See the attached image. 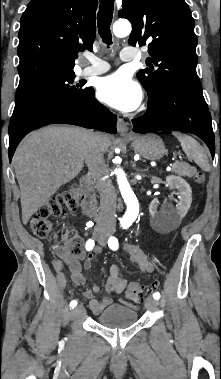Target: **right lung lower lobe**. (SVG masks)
Returning <instances> with one entry per match:
<instances>
[{
  "mask_svg": "<svg viewBox=\"0 0 221 379\" xmlns=\"http://www.w3.org/2000/svg\"><path fill=\"white\" fill-rule=\"evenodd\" d=\"M116 121V116L95 99L94 90L89 87L88 92L75 102L41 113L9 134V160L11 162L16 147L24 136L40 127L63 123L115 134Z\"/></svg>",
  "mask_w": 221,
  "mask_h": 379,
  "instance_id": "98d812e1",
  "label": "right lung lower lobe"
}]
</instances>
